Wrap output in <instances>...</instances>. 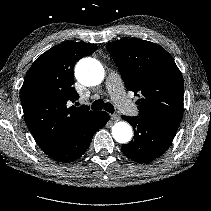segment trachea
I'll return each mask as SVG.
<instances>
[{
  "mask_svg": "<svg viewBox=\"0 0 211 211\" xmlns=\"http://www.w3.org/2000/svg\"><path fill=\"white\" fill-rule=\"evenodd\" d=\"M91 108L93 110H100V109H104L105 111L109 112V113H113L114 112V106L109 103V102H104L103 100L99 99L96 100L92 103Z\"/></svg>",
  "mask_w": 211,
  "mask_h": 211,
  "instance_id": "obj_1",
  "label": "trachea"
}]
</instances>
